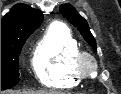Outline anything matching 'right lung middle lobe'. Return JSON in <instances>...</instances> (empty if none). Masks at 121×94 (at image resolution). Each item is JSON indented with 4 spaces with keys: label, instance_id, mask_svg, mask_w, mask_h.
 I'll return each mask as SVG.
<instances>
[{
    "label": "right lung middle lobe",
    "instance_id": "1",
    "mask_svg": "<svg viewBox=\"0 0 121 94\" xmlns=\"http://www.w3.org/2000/svg\"><path fill=\"white\" fill-rule=\"evenodd\" d=\"M31 33L1 41V90L9 89L19 82V54Z\"/></svg>",
    "mask_w": 121,
    "mask_h": 94
}]
</instances>
